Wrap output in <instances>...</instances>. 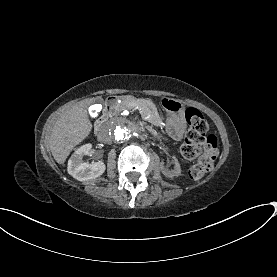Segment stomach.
Wrapping results in <instances>:
<instances>
[{
  "instance_id": "stomach-1",
  "label": "stomach",
  "mask_w": 277,
  "mask_h": 277,
  "mask_svg": "<svg viewBox=\"0 0 277 277\" xmlns=\"http://www.w3.org/2000/svg\"><path fill=\"white\" fill-rule=\"evenodd\" d=\"M161 107L167 114L169 130L179 133L186 127L185 106L181 100L165 97L161 100Z\"/></svg>"
}]
</instances>
